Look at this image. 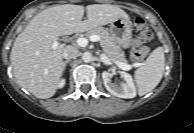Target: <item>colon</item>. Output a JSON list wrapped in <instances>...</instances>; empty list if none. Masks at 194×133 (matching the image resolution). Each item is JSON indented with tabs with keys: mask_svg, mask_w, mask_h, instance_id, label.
Segmentation results:
<instances>
[{
	"mask_svg": "<svg viewBox=\"0 0 194 133\" xmlns=\"http://www.w3.org/2000/svg\"><path fill=\"white\" fill-rule=\"evenodd\" d=\"M133 25L135 32L142 39H150L152 36V32L150 28L147 26L146 22L141 17H135L133 20ZM149 48L146 45H136L129 53L128 58L132 62L141 61L148 53Z\"/></svg>",
	"mask_w": 194,
	"mask_h": 133,
	"instance_id": "colon-1",
	"label": "colon"
}]
</instances>
